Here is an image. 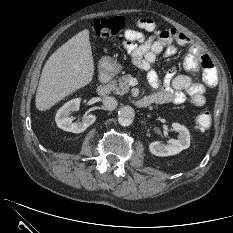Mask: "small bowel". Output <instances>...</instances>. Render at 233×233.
Listing matches in <instances>:
<instances>
[{
  "label": "small bowel",
  "instance_id": "small-bowel-1",
  "mask_svg": "<svg viewBox=\"0 0 233 233\" xmlns=\"http://www.w3.org/2000/svg\"><path fill=\"white\" fill-rule=\"evenodd\" d=\"M139 30L129 29L124 33L123 46L131 56L133 63L148 71V80L157 91L151 94L152 103L182 104L187 100L196 107L206 104L207 88L217 83V71L211 58L188 36L177 29H159L157 24L148 18H137ZM144 32L150 33L146 36ZM188 47L184 59L186 74L176 75L170 69L161 80L152 68L160 54L171 55L175 46ZM202 70L204 83L194 80L193 75Z\"/></svg>",
  "mask_w": 233,
  "mask_h": 233
}]
</instances>
